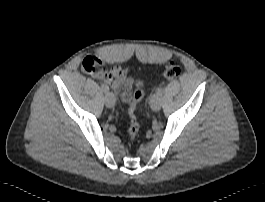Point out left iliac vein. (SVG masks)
Listing matches in <instances>:
<instances>
[{
    "label": "left iliac vein",
    "mask_w": 265,
    "mask_h": 202,
    "mask_svg": "<svg viewBox=\"0 0 265 202\" xmlns=\"http://www.w3.org/2000/svg\"><path fill=\"white\" fill-rule=\"evenodd\" d=\"M150 106L153 111H159L161 109V97L155 95L150 102Z\"/></svg>",
    "instance_id": "obj_1"
}]
</instances>
